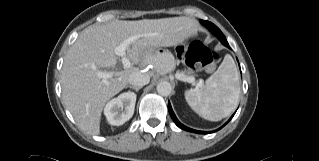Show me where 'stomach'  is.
<instances>
[{
    "label": "stomach",
    "instance_id": "0dacf381",
    "mask_svg": "<svg viewBox=\"0 0 319 161\" xmlns=\"http://www.w3.org/2000/svg\"><path fill=\"white\" fill-rule=\"evenodd\" d=\"M146 56L155 63L156 68L162 73H168L175 69V58L168 50L151 48L146 52Z\"/></svg>",
    "mask_w": 319,
    "mask_h": 161
}]
</instances>
